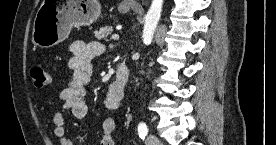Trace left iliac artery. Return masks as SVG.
Listing matches in <instances>:
<instances>
[{"label":"left iliac artery","instance_id":"1","mask_svg":"<svg viewBox=\"0 0 276 145\" xmlns=\"http://www.w3.org/2000/svg\"><path fill=\"white\" fill-rule=\"evenodd\" d=\"M147 133H148V128H147L146 123H144V122L139 123V125H138V134H139V137L140 138H145V136L147 135Z\"/></svg>","mask_w":276,"mask_h":145}]
</instances>
